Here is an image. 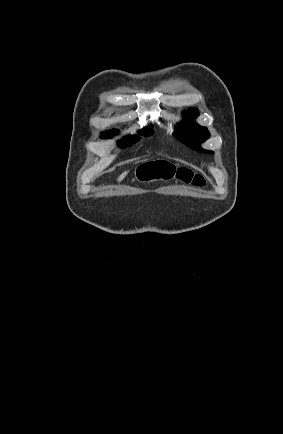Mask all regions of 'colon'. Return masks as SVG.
<instances>
[{"mask_svg":"<svg viewBox=\"0 0 283 434\" xmlns=\"http://www.w3.org/2000/svg\"><path fill=\"white\" fill-rule=\"evenodd\" d=\"M138 179L143 182H152L157 180H169L176 177L185 183L202 187L205 185V179L201 174L181 168L176 169L165 162H151L142 165L137 172Z\"/></svg>","mask_w":283,"mask_h":434,"instance_id":"obj_1","label":"colon"}]
</instances>
